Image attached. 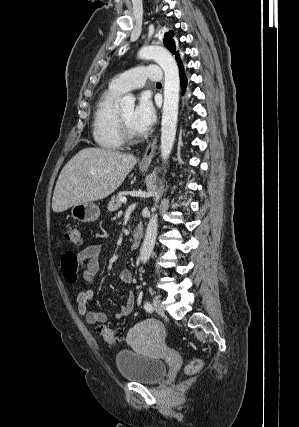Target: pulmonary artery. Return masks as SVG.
<instances>
[{
	"instance_id": "1",
	"label": "pulmonary artery",
	"mask_w": 299,
	"mask_h": 427,
	"mask_svg": "<svg viewBox=\"0 0 299 427\" xmlns=\"http://www.w3.org/2000/svg\"><path fill=\"white\" fill-rule=\"evenodd\" d=\"M163 71L157 65H147L132 68L112 81V86L118 91L124 93L130 90L139 89L144 86L147 80L161 81Z\"/></svg>"
}]
</instances>
